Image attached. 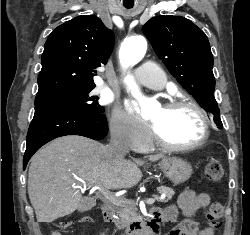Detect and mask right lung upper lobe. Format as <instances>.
Wrapping results in <instances>:
<instances>
[{"mask_svg":"<svg viewBox=\"0 0 250 235\" xmlns=\"http://www.w3.org/2000/svg\"><path fill=\"white\" fill-rule=\"evenodd\" d=\"M113 46V32L94 15L55 28L44 46L36 98L95 85L94 69L107 63Z\"/></svg>","mask_w":250,"mask_h":235,"instance_id":"1","label":"right lung upper lobe"}]
</instances>
